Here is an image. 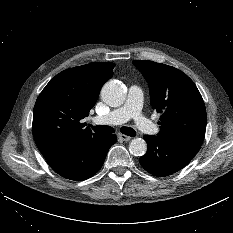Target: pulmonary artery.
<instances>
[{
  "mask_svg": "<svg viewBox=\"0 0 233 233\" xmlns=\"http://www.w3.org/2000/svg\"><path fill=\"white\" fill-rule=\"evenodd\" d=\"M143 99V90L139 86L133 85L129 88L127 99L123 105L107 114L95 117V121L100 124H121L133 119L141 131L150 135L157 134L158 128L141 113Z\"/></svg>",
  "mask_w": 233,
  "mask_h": 233,
  "instance_id": "obj_1",
  "label": "pulmonary artery"
}]
</instances>
